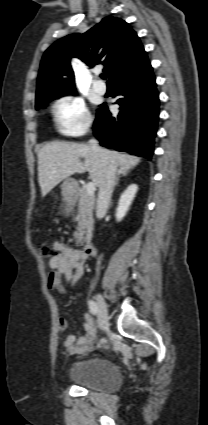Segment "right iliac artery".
Here are the masks:
<instances>
[{"instance_id": "82829eb1", "label": "right iliac artery", "mask_w": 208, "mask_h": 425, "mask_svg": "<svg viewBox=\"0 0 208 425\" xmlns=\"http://www.w3.org/2000/svg\"><path fill=\"white\" fill-rule=\"evenodd\" d=\"M90 312L95 316L98 313L97 304L93 300L88 301Z\"/></svg>"}]
</instances>
